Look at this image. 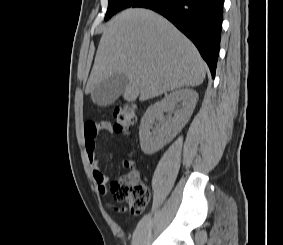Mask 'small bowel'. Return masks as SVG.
Returning <instances> with one entry per match:
<instances>
[{
    "instance_id": "1",
    "label": "small bowel",
    "mask_w": 283,
    "mask_h": 245,
    "mask_svg": "<svg viewBox=\"0 0 283 245\" xmlns=\"http://www.w3.org/2000/svg\"><path fill=\"white\" fill-rule=\"evenodd\" d=\"M112 132L111 125L106 121H88L84 125L85 148L92 166L93 177L97 183L99 192L105 194L107 192L108 177L99 167V161L96 156V138L100 133L110 134ZM116 211L122 209L111 206Z\"/></svg>"
}]
</instances>
